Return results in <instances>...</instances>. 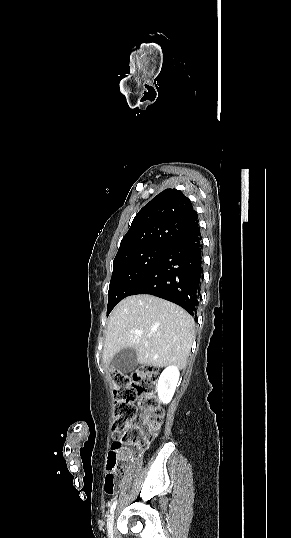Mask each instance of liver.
I'll use <instances>...</instances> for the list:
<instances>
[{"instance_id":"6515ba94","label":"liver","mask_w":291,"mask_h":538,"mask_svg":"<svg viewBox=\"0 0 291 538\" xmlns=\"http://www.w3.org/2000/svg\"><path fill=\"white\" fill-rule=\"evenodd\" d=\"M194 325L192 316L176 304L149 294L129 296L109 316L103 362L108 365L120 350L132 348L140 364L184 367Z\"/></svg>"}]
</instances>
